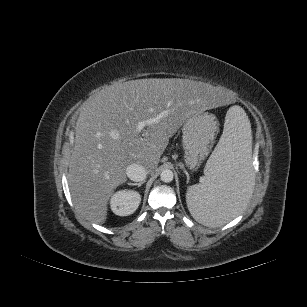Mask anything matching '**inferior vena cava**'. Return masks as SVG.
I'll list each match as a JSON object with an SVG mask.
<instances>
[{"instance_id": "obj_1", "label": "inferior vena cava", "mask_w": 307, "mask_h": 307, "mask_svg": "<svg viewBox=\"0 0 307 307\" xmlns=\"http://www.w3.org/2000/svg\"><path fill=\"white\" fill-rule=\"evenodd\" d=\"M126 174L130 180L140 182L145 180L147 171L144 166L133 163L127 166Z\"/></svg>"}]
</instances>
